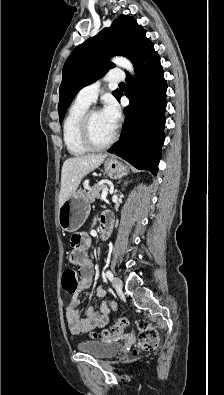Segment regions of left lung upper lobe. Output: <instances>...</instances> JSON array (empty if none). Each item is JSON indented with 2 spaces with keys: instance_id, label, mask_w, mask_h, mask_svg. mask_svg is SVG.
I'll use <instances>...</instances> for the list:
<instances>
[{
  "instance_id": "obj_1",
  "label": "left lung upper lobe",
  "mask_w": 224,
  "mask_h": 395,
  "mask_svg": "<svg viewBox=\"0 0 224 395\" xmlns=\"http://www.w3.org/2000/svg\"><path fill=\"white\" fill-rule=\"evenodd\" d=\"M145 30L134 18L121 15L109 28L100 31L77 46L63 66V77L59 89V121L75 95L83 87L95 82L114 64L108 59L122 55L135 62L137 56L149 44ZM120 91H113L117 98Z\"/></svg>"
}]
</instances>
